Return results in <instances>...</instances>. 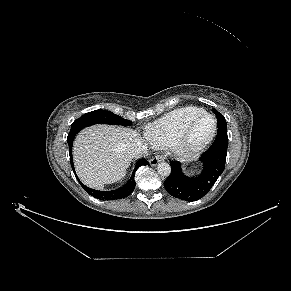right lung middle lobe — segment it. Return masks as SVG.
<instances>
[{"label": "right lung middle lobe", "instance_id": "right-lung-middle-lobe-1", "mask_svg": "<svg viewBox=\"0 0 291 291\" xmlns=\"http://www.w3.org/2000/svg\"><path fill=\"white\" fill-rule=\"evenodd\" d=\"M100 123L129 126L132 121L124 119L110 111L100 109L88 112L73 122V124L81 125L82 127Z\"/></svg>", "mask_w": 291, "mask_h": 291}]
</instances>
